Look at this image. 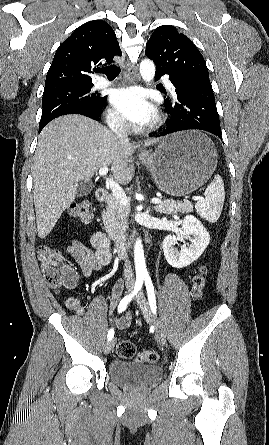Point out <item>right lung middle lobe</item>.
<instances>
[{
	"label": "right lung middle lobe",
	"instance_id": "obj_1",
	"mask_svg": "<svg viewBox=\"0 0 269 445\" xmlns=\"http://www.w3.org/2000/svg\"><path fill=\"white\" fill-rule=\"evenodd\" d=\"M92 87L93 84L68 85L44 90L39 129L65 114L96 113L104 103L105 97L90 93Z\"/></svg>",
	"mask_w": 269,
	"mask_h": 445
}]
</instances>
